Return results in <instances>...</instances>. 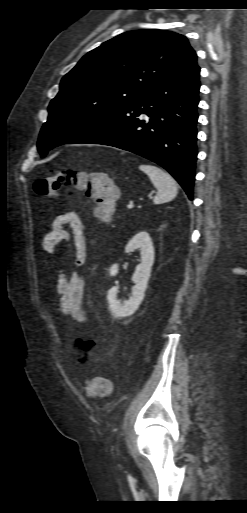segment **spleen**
Instances as JSON below:
<instances>
[{"label":"spleen","mask_w":247,"mask_h":513,"mask_svg":"<svg viewBox=\"0 0 247 513\" xmlns=\"http://www.w3.org/2000/svg\"><path fill=\"white\" fill-rule=\"evenodd\" d=\"M139 169L146 173L158 192L154 197L155 204H163L173 200L178 193V186L174 178L167 172L152 165L141 164Z\"/></svg>","instance_id":"3e777b00"}]
</instances>
